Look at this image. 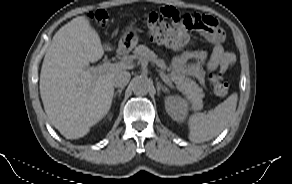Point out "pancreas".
<instances>
[{
    "instance_id": "cf45deb5",
    "label": "pancreas",
    "mask_w": 292,
    "mask_h": 184,
    "mask_svg": "<svg viewBox=\"0 0 292 184\" xmlns=\"http://www.w3.org/2000/svg\"><path fill=\"white\" fill-rule=\"evenodd\" d=\"M134 54L140 58L151 61L152 63H156L162 68V70L167 68L164 60L158 59L157 55L145 45H139L136 47ZM168 80L173 81L176 84L177 89L191 102L192 109H202V99L204 97L203 89L194 80L175 72L169 74Z\"/></svg>"
}]
</instances>
